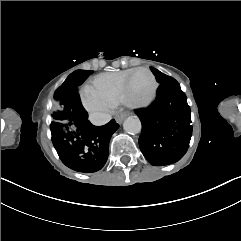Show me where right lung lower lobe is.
<instances>
[{
  "mask_svg": "<svg viewBox=\"0 0 241 241\" xmlns=\"http://www.w3.org/2000/svg\"><path fill=\"white\" fill-rule=\"evenodd\" d=\"M67 84L65 100L72 121L50 126L52 142L67 167L78 172H96L107 161L109 141L119 125L115 120L103 126L92 125L77 92L79 85L73 81H67Z\"/></svg>",
  "mask_w": 241,
  "mask_h": 241,
  "instance_id": "1",
  "label": "right lung lower lobe"
}]
</instances>
